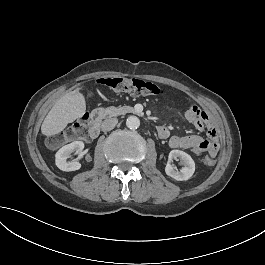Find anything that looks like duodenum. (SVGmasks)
<instances>
[{
	"instance_id": "duodenum-1",
	"label": "duodenum",
	"mask_w": 265,
	"mask_h": 265,
	"mask_svg": "<svg viewBox=\"0 0 265 265\" xmlns=\"http://www.w3.org/2000/svg\"><path fill=\"white\" fill-rule=\"evenodd\" d=\"M105 111L103 108H95L90 112V117L92 119V125L91 128L93 130H97L100 131V119L102 118V116L104 115ZM159 136H162V134L160 133Z\"/></svg>"
}]
</instances>
